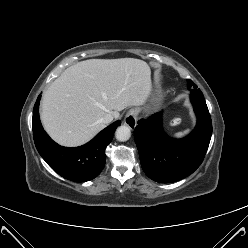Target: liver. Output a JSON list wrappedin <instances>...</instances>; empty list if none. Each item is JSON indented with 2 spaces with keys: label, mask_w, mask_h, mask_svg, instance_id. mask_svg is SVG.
<instances>
[{
  "label": "liver",
  "mask_w": 248,
  "mask_h": 248,
  "mask_svg": "<svg viewBox=\"0 0 248 248\" xmlns=\"http://www.w3.org/2000/svg\"><path fill=\"white\" fill-rule=\"evenodd\" d=\"M151 88L148 64L134 58L90 59L67 68L45 91L41 120L61 145L79 146L106 124L101 118L141 105Z\"/></svg>",
  "instance_id": "6515ba94"
}]
</instances>
